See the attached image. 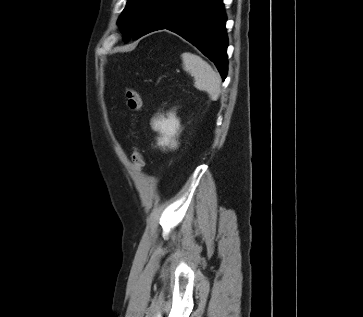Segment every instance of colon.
<instances>
[{"label": "colon", "mask_w": 363, "mask_h": 317, "mask_svg": "<svg viewBox=\"0 0 363 317\" xmlns=\"http://www.w3.org/2000/svg\"><path fill=\"white\" fill-rule=\"evenodd\" d=\"M127 106L131 111L137 112L142 106L141 94L134 88L128 87L125 91ZM132 164L136 169H141L144 165V156L139 149H135L132 157Z\"/></svg>", "instance_id": "1"}]
</instances>
